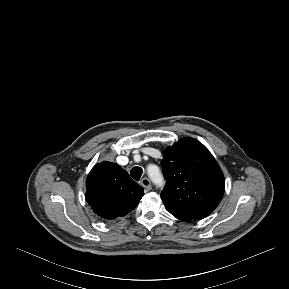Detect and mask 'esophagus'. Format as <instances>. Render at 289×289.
<instances>
[{
  "label": "esophagus",
  "instance_id": "1",
  "mask_svg": "<svg viewBox=\"0 0 289 289\" xmlns=\"http://www.w3.org/2000/svg\"><path fill=\"white\" fill-rule=\"evenodd\" d=\"M140 183L146 190H151L152 185L148 178H143Z\"/></svg>",
  "mask_w": 289,
  "mask_h": 289
}]
</instances>
